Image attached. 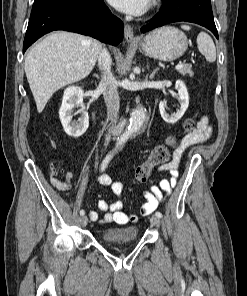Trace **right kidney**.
Masks as SVG:
<instances>
[{"instance_id":"right-kidney-1","label":"right kidney","mask_w":247,"mask_h":296,"mask_svg":"<svg viewBox=\"0 0 247 296\" xmlns=\"http://www.w3.org/2000/svg\"><path fill=\"white\" fill-rule=\"evenodd\" d=\"M83 103V90L78 86H71L65 89L59 118L67 135L77 138L83 135L89 126V116L84 110H80L81 117L78 121H72L73 109Z\"/></svg>"}]
</instances>
